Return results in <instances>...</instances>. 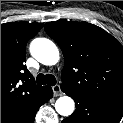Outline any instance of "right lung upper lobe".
Listing matches in <instances>:
<instances>
[{
  "label": "right lung upper lobe",
  "instance_id": "right-lung-upper-lobe-1",
  "mask_svg": "<svg viewBox=\"0 0 123 123\" xmlns=\"http://www.w3.org/2000/svg\"><path fill=\"white\" fill-rule=\"evenodd\" d=\"M42 23L1 24V123L31 107L46 86H36L27 70L26 44L42 28Z\"/></svg>",
  "mask_w": 123,
  "mask_h": 123
}]
</instances>
